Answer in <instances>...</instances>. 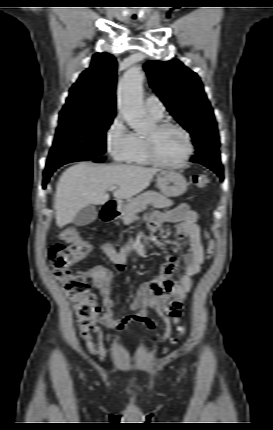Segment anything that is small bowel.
I'll return each mask as SVG.
<instances>
[{
  "label": "small bowel",
  "mask_w": 273,
  "mask_h": 430,
  "mask_svg": "<svg viewBox=\"0 0 273 430\" xmlns=\"http://www.w3.org/2000/svg\"><path fill=\"white\" fill-rule=\"evenodd\" d=\"M197 212L187 203L164 210L154 211L146 221L153 232H157L166 223H178L176 237L180 241H186L188 248L184 254V267L181 279L176 280L173 275L181 269L174 256H167L168 262L163 265V277L142 285L130 304V309L136 313L122 319H115L113 315L114 301L111 297V285L114 279L112 270L105 266L97 265L86 271L83 275L92 280L94 287L101 296L102 314L92 330L96 335V342L91 335L85 337L86 345L90 353L101 359L107 357V350L103 342V336L99 325L122 332L130 322H138L146 326L150 331L155 329V323L148 318V311L154 310L164 322V333L160 338L154 337L153 342L158 343L168 340L172 331L176 328L183 333L185 328L179 326L180 306L186 295L193 287V278L200 271L204 261V249L201 240L200 227L197 224ZM102 252L115 265L119 272L125 267L127 246L120 251L114 249L108 243L101 244Z\"/></svg>",
  "instance_id": "c3829d8e"
}]
</instances>
